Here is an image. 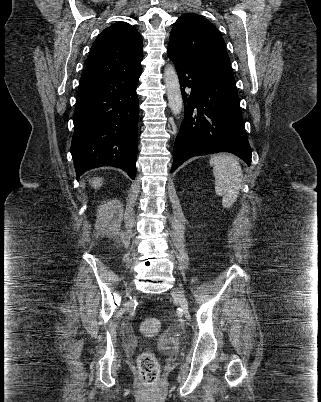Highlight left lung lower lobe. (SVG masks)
Returning a JSON list of instances; mask_svg holds the SVG:
<instances>
[{
  "label": "left lung lower lobe",
  "instance_id": "0a47b994",
  "mask_svg": "<svg viewBox=\"0 0 321 402\" xmlns=\"http://www.w3.org/2000/svg\"><path fill=\"white\" fill-rule=\"evenodd\" d=\"M168 57L178 73L185 109L171 172L193 156L223 151L250 165L251 148L233 74L192 65L170 51Z\"/></svg>",
  "mask_w": 321,
  "mask_h": 402
}]
</instances>
